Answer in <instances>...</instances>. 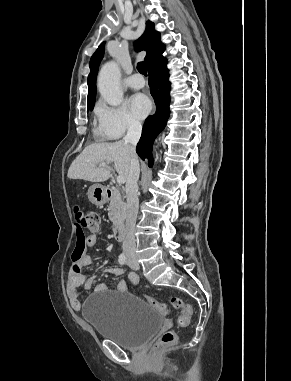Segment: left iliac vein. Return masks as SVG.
Here are the masks:
<instances>
[{"label": "left iliac vein", "instance_id": "1", "mask_svg": "<svg viewBox=\"0 0 291 381\" xmlns=\"http://www.w3.org/2000/svg\"><path fill=\"white\" fill-rule=\"evenodd\" d=\"M128 265L133 270H139V264H138L137 260L133 257H128Z\"/></svg>", "mask_w": 291, "mask_h": 381}]
</instances>
